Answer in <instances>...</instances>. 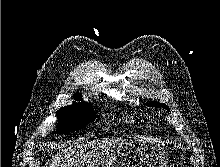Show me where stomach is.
I'll return each mask as SVG.
<instances>
[{
  "label": "stomach",
  "mask_w": 220,
  "mask_h": 167,
  "mask_svg": "<svg viewBox=\"0 0 220 167\" xmlns=\"http://www.w3.org/2000/svg\"><path fill=\"white\" fill-rule=\"evenodd\" d=\"M110 167H169L168 159L160 145L143 141L123 145Z\"/></svg>",
  "instance_id": "0dacf381"
}]
</instances>
